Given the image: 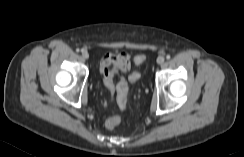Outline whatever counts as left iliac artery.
<instances>
[{
    "label": "left iliac artery",
    "instance_id": "44dca946",
    "mask_svg": "<svg viewBox=\"0 0 244 157\" xmlns=\"http://www.w3.org/2000/svg\"><path fill=\"white\" fill-rule=\"evenodd\" d=\"M170 58H171V56H170V55H167V56H166V59H167V60H169Z\"/></svg>",
    "mask_w": 244,
    "mask_h": 157
}]
</instances>
